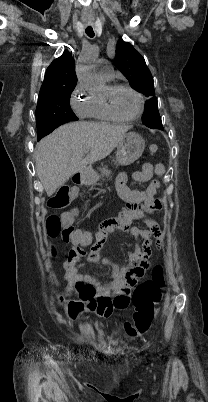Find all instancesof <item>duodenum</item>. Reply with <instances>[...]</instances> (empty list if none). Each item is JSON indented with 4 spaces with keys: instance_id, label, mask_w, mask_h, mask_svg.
<instances>
[{
    "instance_id": "1",
    "label": "duodenum",
    "mask_w": 208,
    "mask_h": 402,
    "mask_svg": "<svg viewBox=\"0 0 208 402\" xmlns=\"http://www.w3.org/2000/svg\"><path fill=\"white\" fill-rule=\"evenodd\" d=\"M87 172L86 171H80L78 173H76L73 177V181L77 184H83L85 182V180L87 179Z\"/></svg>"
}]
</instances>
